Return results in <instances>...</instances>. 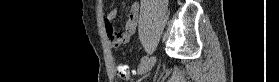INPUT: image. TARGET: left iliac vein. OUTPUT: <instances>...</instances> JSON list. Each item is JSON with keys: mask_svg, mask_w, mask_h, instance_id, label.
<instances>
[{"mask_svg": "<svg viewBox=\"0 0 279 82\" xmlns=\"http://www.w3.org/2000/svg\"><path fill=\"white\" fill-rule=\"evenodd\" d=\"M155 63H156V56L154 55L139 65L137 69L138 74H144L150 71L154 67Z\"/></svg>", "mask_w": 279, "mask_h": 82, "instance_id": "4c4485c4", "label": "left iliac vein"}]
</instances>
